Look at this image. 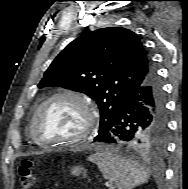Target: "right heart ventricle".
Segmentation results:
<instances>
[{"label":"right heart ventricle","mask_w":188,"mask_h":189,"mask_svg":"<svg viewBox=\"0 0 188 189\" xmlns=\"http://www.w3.org/2000/svg\"><path fill=\"white\" fill-rule=\"evenodd\" d=\"M30 134H31V126H30ZM32 137V136H31Z\"/></svg>","instance_id":"e07e8e85"}]
</instances>
